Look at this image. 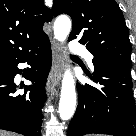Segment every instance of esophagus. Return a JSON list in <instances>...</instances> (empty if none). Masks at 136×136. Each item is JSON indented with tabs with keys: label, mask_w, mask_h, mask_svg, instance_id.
Listing matches in <instances>:
<instances>
[{
	"label": "esophagus",
	"mask_w": 136,
	"mask_h": 136,
	"mask_svg": "<svg viewBox=\"0 0 136 136\" xmlns=\"http://www.w3.org/2000/svg\"><path fill=\"white\" fill-rule=\"evenodd\" d=\"M51 48L53 61L48 81L46 84V88L48 91H52L56 86L59 85L61 79V71L63 68V56L61 45L56 40L52 39Z\"/></svg>",
	"instance_id": "1"
}]
</instances>
